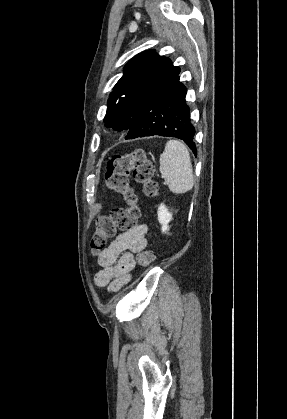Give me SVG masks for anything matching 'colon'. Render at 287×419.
<instances>
[{
  "label": "colon",
  "instance_id": "5ec220e1",
  "mask_svg": "<svg viewBox=\"0 0 287 419\" xmlns=\"http://www.w3.org/2000/svg\"><path fill=\"white\" fill-rule=\"evenodd\" d=\"M130 175L143 186L145 195H158L159 186L153 179L154 167L142 149L111 158L105 175L107 186L113 192L122 195L128 207L115 209L108 216L97 219L96 231L91 238V250L94 254L101 253L106 248L108 239L115 236L117 230H128L137 224L140 210L137 196L129 184ZM154 257L151 249L141 251L137 256L138 265L146 268L153 262Z\"/></svg>",
  "mask_w": 287,
  "mask_h": 419
}]
</instances>
